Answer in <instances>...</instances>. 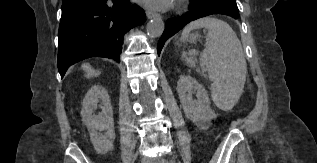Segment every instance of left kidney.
<instances>
[{
  "label": "left kidney",
  "mask_w": 317,
  "mask_h": 163,
  "mask_svg": "<svg viewBox=\"0 0 317 163\" xmlns=\"http://www.w3.org/2000/svg\"><path fill=\"white\" fill-rule=\"evenodd\" d=\"M177 92L186 117L200 129L207 130L217 115L210 107L205 88L190 75H181ZM192 94H196L197 100L192 98Z\"/></svg>",
  "instance_id": "left-kidney-1"
}]
</instances>
